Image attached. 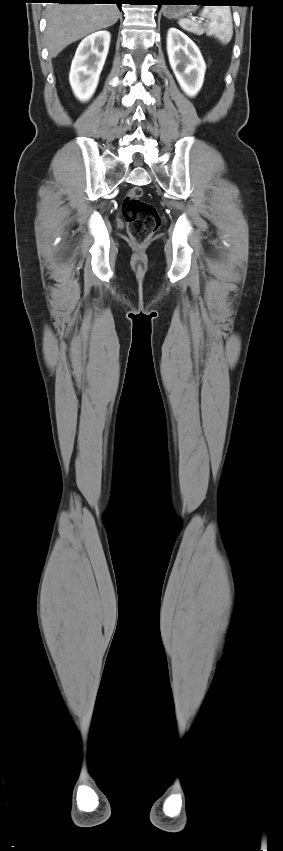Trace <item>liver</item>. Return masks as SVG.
<instances>
[{
  "mask_svg": "<svg viewBox=\"0 0 283 851\" xmlns=\"http://www.w3.org/2000/svg\"><path fill=\"white\" fill-rule=\"evenodd\" d=\"M119 14L115 4L48 5L45 39L49 57L54 58L71 43L114 25Z\"/></svg>",
  "mask_w": 283,
  "mask_h": 851,
  "instance_id": "liver-1",
  "label": "liver"
}]
</instances>
